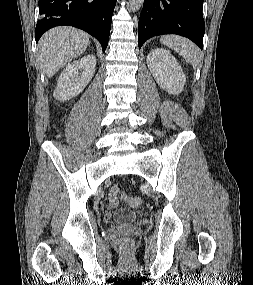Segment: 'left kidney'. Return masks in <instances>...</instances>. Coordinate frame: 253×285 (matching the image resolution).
Segmentation results:
<instances>
[{"mask_svg":"<svg viewBox=\"0 0 253 285\" xmlns=\"http://www.w3.org/2000/svg\"><path fill=\"white\" fill-rule=\"evenodd\" d=\"M147 66L157 84L169 94L178 95L186 83L185 74L175 59L166 49H153L147 56Z\"/></svg>","mask_w":253,"mask_h":285,"instance_id":"obj_1","label":"left kidney"}]
</instances>
